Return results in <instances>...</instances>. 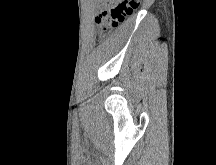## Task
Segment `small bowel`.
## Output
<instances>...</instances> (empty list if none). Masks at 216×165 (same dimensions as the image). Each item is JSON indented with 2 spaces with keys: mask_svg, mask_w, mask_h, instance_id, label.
<instances>
[{
  "mask_svg": "<svg viewBox=\"0 0 216 165\" xmlns=\"http://www.w3.org/2000/svg\"><path fill=\"white\" fill-rule=\"evenodd\" d=\"M108 0H97L99 5H104L107 3Z\"/></svg>",
  "mask_w": 216,
  "mask_h": 165,
  "instance_id": "small-bowel-1",
  "label": "small bowel"
}]
</instances>
